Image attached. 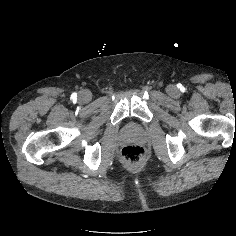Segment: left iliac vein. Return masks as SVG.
<instances>
[{
	"label": "left iliac vein",
	"mask_w": 236,
	"mask_h": 236,
	"mask_svg": "<svg viewBox=\"0 0 236 236\" xmlns=\"http://www.w3.org/2000/svg\"><path fill=\"white\" fill-rule=\"evenodd\" d=\"M166 92L167 94L170 96V97H173V98H176L179 96V90L177 89L176 86L174 85H169L167 88H166Z\"/></svg>",
	"instance_id": "left-iliac-vein-1"
}]
</instances>
